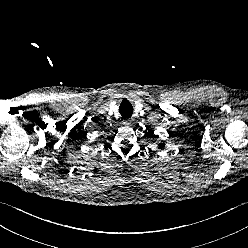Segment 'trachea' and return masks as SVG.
Segmentation results:
<instances>
[{
	"mask_svg": "<svg viewBox=\"0 0 248 248\" xmlns=\"http://www.w3.org/2000/svg\"><path fill=\"white\" fill-rule=\"evenodd\" d=\"M119 112L123 118H130L133 114L132 104L127 99H123L119 107Z\"/></svg>",
	"mask_w": 248,
	"mask_h": 248,
	"instance_id": "obj_1",
	"label": "trachea"
}]
</instances>
